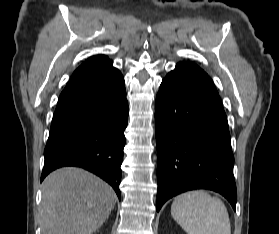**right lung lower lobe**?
I'll list each match as a JSON object with an SVG mask.
<instances>
[{"instance_id":"1","label":"right lung lower lobe","mask_w":279,"mask_h":234,"mask_svg":"<svg viewBox=\"0 0 279 234\" xmlns=\"http://www.w3.org/2000/svg\"><path fill=\"white\" fill-rule=\"evenodd\" d=\"M127 123L125 83L113 62L69 82L53 114L41 181L59 167H82L108 182L120 199Z\"/></svg>"}]
</instances>
